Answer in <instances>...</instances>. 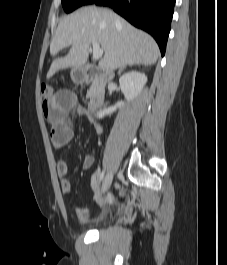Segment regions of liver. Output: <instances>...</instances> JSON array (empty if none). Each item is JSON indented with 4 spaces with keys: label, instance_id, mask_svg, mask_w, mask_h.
<instances>
[{
    "label": "liver",
    "instance_id": "6515ba94",
    "mask_svg": "<svg viewBox=\"0 0 227 265\" xmlns=\"http://www.w3.org/2000/svg\"><path fill=\"white\" fill-rule=\"evenodd\" d=\"M93 43L101 45L104 51L98 66L105 72L129 64L153 65L159 56L155 40L147 33L110 10L85 7L59 22L50 43V54L54 57L67 46L71 49L65 57L53 60L47 78L60 69L84 66Z\"/></svg>",
    "mask_w": 227,
    "mask_h": 265
}]
</instances>
